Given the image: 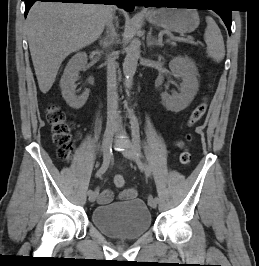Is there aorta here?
<instances>
[{
	"label": "aorta",
	"instance_id": "obj_1",
	"mask_svg": "<svg viewBox=\"0 0 259 266\" xmlns=\"http://www.w3.org/2000/svg\"><path fill=\"white\" fill-rule=\"evenodd\" d=\"M138 29L137 25L133 26V32ZM140 57V41L133 38L128 46L126 57L123 63L124 84L127 89H130L133 84V77L135 75L138 59Z\"/></svg>",
	"mask_w": 259,
	"mask_h": 266
}]
</instances>
